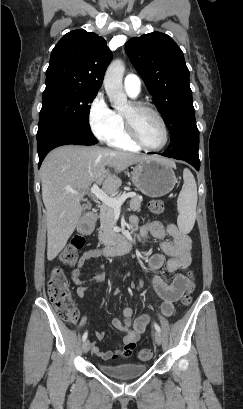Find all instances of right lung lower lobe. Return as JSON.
<instances>
[{"instance_id":"98d812e1","label":"right lung lower lobe","mask_w":243,"mask_h":409,"mask_svg":"<svg viewBox=\"0 0 243 409\" xmlns=\"http://www.w3.org/2000/svg\"><path fill=\"white\" fill-rule=\"evenodd\" d=\"M96 143L97 139L91 130L64 124L49 125L37 132L38 166L40 167L48 152L58 146L67 144L94 145Z\"/></svg>"}]
</instances>
